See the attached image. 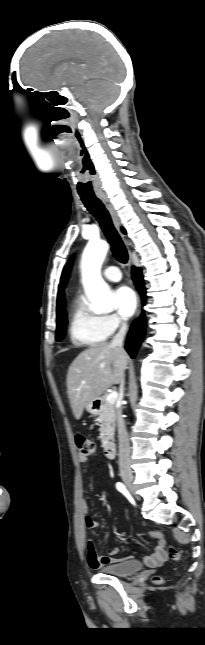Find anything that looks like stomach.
Returning <instances> with one entry per match:
<instances>
[{
	"instance_id": "obj_1",
	"label": "stomach",
	"mask_w": 205,
	"mask_h": 645,
	"mask_svg": "<svg viewBox=\"0 0 205 645\" xmlns=\"http://www.w3.org/2000/svg\"><path fill=\"white\" fill-rule=\"evenodd\" d=\"M86 410L92 415H98L100 413V400L98 398L93 400L86 406Z\"/></svg>"
}]
</instances>
